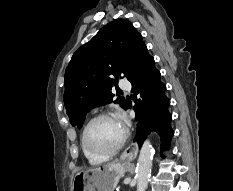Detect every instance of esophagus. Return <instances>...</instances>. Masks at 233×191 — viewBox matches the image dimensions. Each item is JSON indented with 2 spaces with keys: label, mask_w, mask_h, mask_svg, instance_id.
Returning a JSON list of instances; mask_svg holds the SVG:
<instances>
[{
  "label": "esophagus",
  "mask_w": 233,
  "mask_h": 191,
  "mask_svg": "<svg viewBox=\"0 0 233 191\" xmlns=\"http://www.w3.org/2000/svg\"><path fill=\"white\" fill-rule=\"evenodd\" d=\"M138 147L136 144L130 145L121 155L122 159L134 158L137 154Z\"/></svg>",
  "instance_id": "esophagus-1"
}]
</instances>
